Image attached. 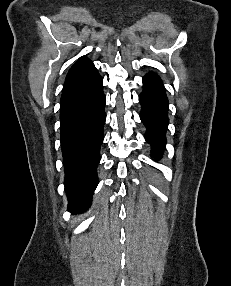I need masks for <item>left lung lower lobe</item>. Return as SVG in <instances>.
<instances>
[{
	"label": "left lung lower lobe",
	"instance_id": "left-lung-lower-lobe-1",
	"mask_svg": "<svg viewBox=\"0 0 231 286\" xmlns=\"http://www.w3.org/2000/svg\"><path fill=\"white\" fill-rule=\"evenodd\" d=\"M143 88L139 101L142 106L140 118L147 128L145 139L151 144L153 155L160 157L166 141L168 100L162 81L155 73L143 78Z\"/></svg>",
	"mask_w": 231,
	"mask_h": 286
}]
</instances>
